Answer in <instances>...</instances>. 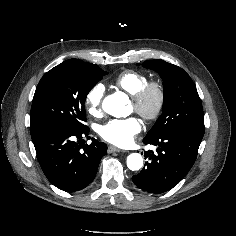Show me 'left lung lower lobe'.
I'll return each instance as SVG.
<instances>
[{
	"instance_id": "obj_1",
	"label": "left lung lower lobe",
	"mask_w": 236,
	"mask_h": 236,
	"mask_svg": "<svg viewBox=\"0 0 236 236\" xmlns=\"http://www.w3.org/2000/svg\"><path fill=\"white\" fill-rule=\"evenodd\" d=\"M204 134L174 130L146 136L144 144L157 146V153L145 151L150 161L132 180L143 191L160 194L176 186L193 166Z\"/></svg>"
}]
</instances>
